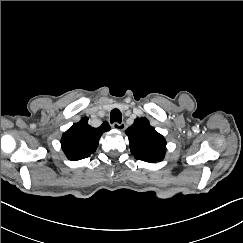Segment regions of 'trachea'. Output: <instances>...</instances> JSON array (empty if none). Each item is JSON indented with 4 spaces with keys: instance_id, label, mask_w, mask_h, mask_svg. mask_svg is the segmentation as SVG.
<instances>
[{
    "instance_id": "obj_1",
    "label": "trachea",
    "mask_w": 243,
    "mask_h": 243,
    "mask_svg": "<svg viewBox=\"0 0 243 243\" xmlns=\"http://www.w3.org/2000/svg\"><path fill=\"white\" fill-rule=\"evenodd\" d=\"M121 121H122V114H121L120 110L113 109L110 114V122L111 123H114V122L121 123Z\"/></svg>"
}]
</instances>
